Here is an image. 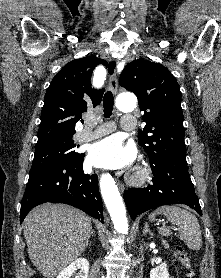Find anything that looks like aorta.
I'll return each mask as SVG.
<instances>
[{"instance_id": "obj_1", "label": "aorta", "mask_w": 221, "mask_h": 278, "mask_svg": "<svg viewBox=\"0 0 221 278\" xmlns=\"http://www.w3.org/2000/svg\"><path fill=\"white\" fill-rule=\"evenodd\" d=\"M136 105L134 97L120 96L117 106L121 111L132 110ZM101 194L106 204L107 210L111 216L114 229L121 234L128 233V220L126 217V209L122 197L118 191V187L109 174H103L100 178Z\"/></svg>"}]
</instances>
